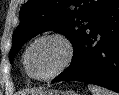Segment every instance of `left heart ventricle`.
Returning <instances> with one entry per match:
<instances>
[{
    "label": "left heart ventricle",
    "instance_id": "obj_1",
    "mask_svg": "<svg viewBox=\"0 0 119 95\" xmlns=\"http://www.w3.org/2000/svg\"><path fill=\"white\" fill-rule=\"evenodd\" d=\"M65 55V46L59 40H42L36 43L29 53V69L36 76H48L61 65Z\"/></svg>",
    "mask_w": 119,
    "mask_h": 95
}]
</instances>
